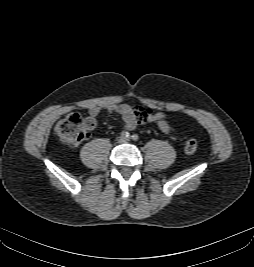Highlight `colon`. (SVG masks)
<instances>
[{
  "instance_id": "1",
  "label": "colon",
  "mask_w": 254,
  "mask_h": 267,
  "mask_svg": "<svg viewBox=\"0 0 254 267\" xmlns=\"http://www.w3.org/2000/svg\"><path fill=\"white\" fill-rule=\"evenodd\" d=\"M95 126L94 118L71 114L56 124L55 133L63 143L75 146L86 140ZM197 148L198 144L194 139L187 140L184 146L189 154L195 153Z\"/></svg>"
}]
</instances>
